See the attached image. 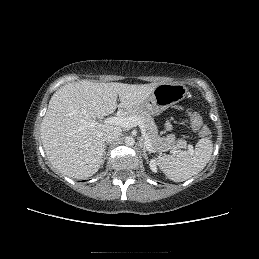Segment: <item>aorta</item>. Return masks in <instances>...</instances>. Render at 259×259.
<instances>
[{"label": "aorta", "instance_id": "762f6f07", "mask_svg": "<svg viewBox=\"0 0 259 259\" xmlns=\"http://www.w3.org/2000/svg\"><path fill=\"white\" fill-rule=\"evenodd\" d=\"M125 144L127 146H133L135 144V139L133 137H131V136H127L125 138Z\"/></svg>", "mask_w": 259, "mask_h": 259}]
</instances>
